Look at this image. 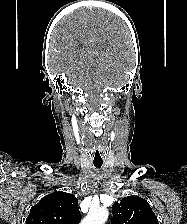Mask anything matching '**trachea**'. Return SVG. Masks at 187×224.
Segmentation results:
<instances>
[{
	"mask_svg": "<svg viewBox=\"0 0 187 224\" xmlns=\"http://www.w3.org/2000/svg\"><path fill=\"white\" fill-rule=\"evenodd\" d=\"M93 164L97 169H99V168H101L103 162H93Z\"/></svg>",
	"mask_w": 187,
	"mask_h": 224,
	"instance_id": "1",
	"label": "trachea"
}]
</instances>
